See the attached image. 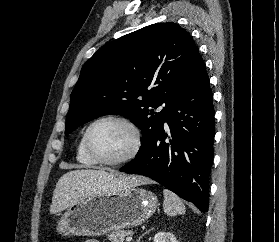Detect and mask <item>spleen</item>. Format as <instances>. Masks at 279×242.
<instances>
[{"label": "spleen", "instance_id": "1", "mask_svg": "<svg viewBox=\"0 0 279 242\" xmlns=\"http://www.w3.org/2000/svg\"><path fill=\"white\" fill-rule=\"evenodd\" d=\"M164 195V212L169 216L176 214H184L186 211L185 205L182 200L172 191L168 189L163 190Z\"/></svg>", "mask_w": 279, "mask_h": 242}]
</instances>
